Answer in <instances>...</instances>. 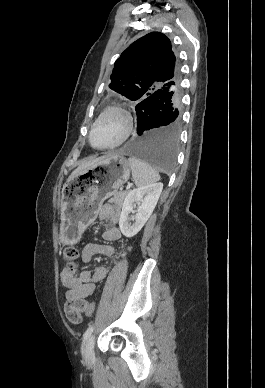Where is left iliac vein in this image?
Instances as JSON below:
<instances>
[{
  "instance_id": "1",
  "label": "left iliac vein",
  "mask_w": 265,
  "mask_h": 388,
  "mask_svg": "<svg viewBox=\"0 0 265 388\" xmlns=\"http://www.w3.org/2000/svg\"><path fill=\"white\" fill-rule=\"evenodd\" d=\"M93 347H94V335H90L87 338V341L85 344V358L87 360H91L94 356Z\"/></svg>"
}]
</instances>
